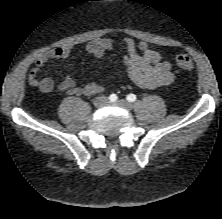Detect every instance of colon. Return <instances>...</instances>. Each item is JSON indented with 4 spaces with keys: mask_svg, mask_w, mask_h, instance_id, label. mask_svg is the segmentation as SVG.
Listing matches in <instances>:
<instances>
[{
    "mask_svg": "<svg viewBox=\"0 0 222 219\" xmlns=\"http://www.w3.org/2000/svg\"><path fill=\"white\" fill-rule=\"evenodd\" d=\"M175 63L177 67L184 71H194L195 66L191 58L186 54H177L175 56Z\"/></svg>",
    "mask_w": 222,
    "mask_h": 219,
    "instance_id": "obj_1",
    "label": "colon"
}]
</instances>
